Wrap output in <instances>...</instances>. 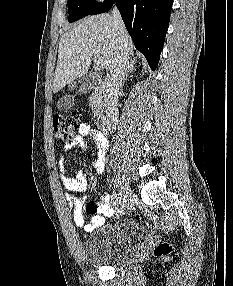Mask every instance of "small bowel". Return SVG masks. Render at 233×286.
Masks as SVG:
<instances>
[{"label":"small bowel","instance_id":"small-bowel-1","mask_svg":"<svg viewBox=\"0 0 233 286\" xmlns=\"http://www.w3.org/2000/svg\"><path fill=\"white\" fill-rule=\"evenodd\" d=\"M85 137L94 142L98 148L97 157L94 161V171L96 174H101L105 168L108 141L99 130L90 124L81 123L78 126V134L72 141L66 143L63 149L70 150L79 147L88 151L89 146L84 140ZM59 174L64 189L68 191L66 199L72 209L74 224L86 232H92L99 228L104 222V216L109 214L110 196L106 195L98 201H91L84 207V202L74 195V193H83L87 190L88 182L83 172L78 171L71 174L64 161L61 160L59 162ZM84 212L91 216L90 221L85 219Z\"/></svg>","mask_w":233,"mask_h":286}]
</instances>
